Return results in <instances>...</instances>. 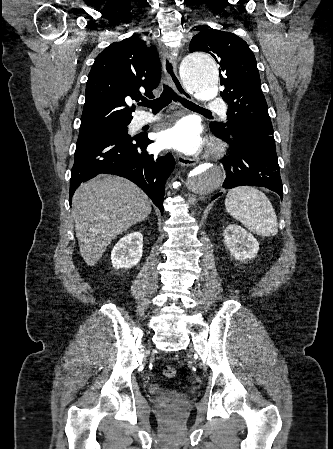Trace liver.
<instances>
[{
  "label": "liver",
  "mask_w": 333,
  "mask_h": 449,
  "mask_svg": "<svg viewBox=\"0 0 333 449\" xmlns=\"http://www.w3.org/2000/svg\"><path fill=\"white\" fill-rule=\"evenodd\" d=\"M72 212L80 254L93 266L113 239L147 218L151 200L128 179L99 175L75 191Z\"/></svg>",
  "instance_id": "6515ba94"
}]
</instances>
